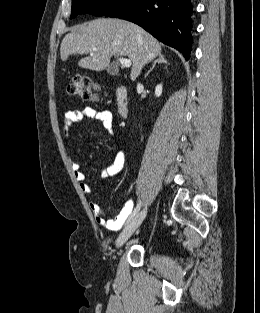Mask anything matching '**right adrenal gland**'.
I'll list each match as a JSON object with an SVG mask.
<instances>
[{
    "instance_id": "right-adrenal-gland-1",
    "label": "right adrenal gland",
    "mask_w": 260,
    "mask_h": 313,
    "mask_svg": "<svg viewBox=\"0 0 260 313\" xmlns=\"http://www.w3.org/2000/svg\"><path fill=\"white\" fill-rule=\"evenodd\" d=\"M157 63H165L167 64V60L165 59V56L163 54H159L157 60L154 61L152 67L150 68V70L146 73L145 77H147L149 75V73L154 69L155 65Z\"/></svg>"
}]
</instances>
